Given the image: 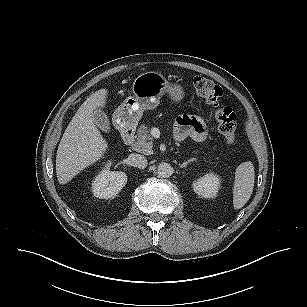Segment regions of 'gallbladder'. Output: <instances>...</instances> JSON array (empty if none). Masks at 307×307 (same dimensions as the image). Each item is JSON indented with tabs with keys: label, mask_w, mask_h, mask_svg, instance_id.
Returning a JSON list of instances; mask_svg holds the SVG:
<instances>
[{
	"label": "gallbladder",
	"mask_w": 307,
	"mask_h": 307,
	"mask_svg": "<svg viewBox=\"0 0 307 307\" xmlns=\"http://www.w3.org/2000/svg\"><path fill=\"white\" fill-rule=\"evenodd\" d=\"M93 119L95 124L103 131V132H110L111 127H110V122L107 117V115L101 111V110H96L93 114Z\"/></svg>",
	"instance_id": "1"
}]
</instances>
